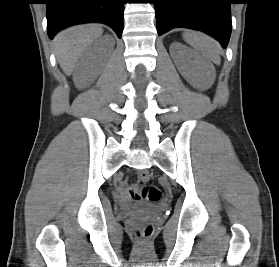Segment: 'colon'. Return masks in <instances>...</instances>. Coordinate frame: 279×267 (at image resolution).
<instances>
[{"mask_svg":"<svg viewBox=\"0 0 279 267\" xmlns=\"http://www.w3.org/2000/svg\"><path fill=\"white\" fill-rule=\"evenodd\" d=\"M148 174L143 172L139 175V184L141 185V189L139 191V196L141 199H145L148 201H158L161 198V191L158 187L148 184ZM134 192H137L136 189ZM153 232V227L150 224L139 227L136 230V235L140 239H148Z\"/></svg>","mask_w":279,"mask_h":267,"instance_id":"5ec220e1","label":"colon"}]
</instances>
